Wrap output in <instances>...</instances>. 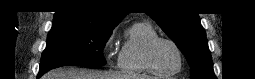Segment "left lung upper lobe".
Masks as SVG:
<instances>
[{
	"instance_id": "1",
	"label": "left lung upper lobe",
	"mask_w": 255,
	"mask_h": 79,
	"mask_svg": "<svg viewBox=\"0 0 255 79\" xmlns=\"http://www.w3.org/2000/svg\"><path fill=\"white\" fill-rule=\"evenodd\" d=\"M150 15L185 55L192 79H216L205 30L197 13L180 12L171 1H151Z\"/></svg>"
}]
</instances>
